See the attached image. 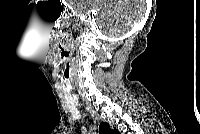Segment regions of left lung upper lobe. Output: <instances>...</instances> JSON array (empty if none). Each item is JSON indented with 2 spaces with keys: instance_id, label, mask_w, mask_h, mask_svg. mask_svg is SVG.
I'll return each mask as SVG.
<instances>
[{
  "instance_id": "obj_1",
  "label": "left lung upper lobe",
  "mask_w": 200,
  "mask_h": 134,
  "mask_svg": "<svg viewBox=\"0 0 200 134\" xmlns=\"http://www.w3.org/2000/svg\"><path fill=\"white\" fill-rule=\"evenodd\" d=\"M100 134H120L115 128H111L108 123H101L99 126Z\"/></svg>"
}]
</instances>
